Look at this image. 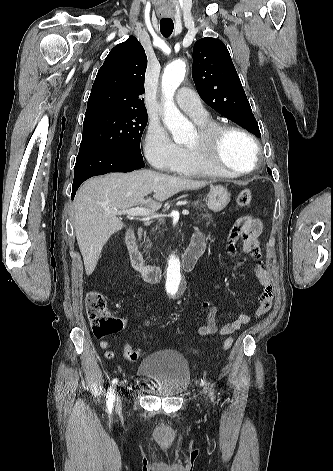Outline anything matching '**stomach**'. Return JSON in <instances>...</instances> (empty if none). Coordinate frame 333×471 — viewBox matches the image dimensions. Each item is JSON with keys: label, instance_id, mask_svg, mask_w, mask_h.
Instances as JSON below:
<instances>
[{"label": "stomach", "instance_id": "1", "mask_svg": "<svg viewBox=\"0 0 333 471\" xmlns=\"http://www.w3.org/2000/svg\"><path fill=\"white\" fill-rule=\"evenodd\" d=\"M230 201L229 191L221 185L211 187L207 199L206 205L213 212H220L223 210Z\"/></svg>", "mask_w": 333, "mask_h": 471}]
</instances>
